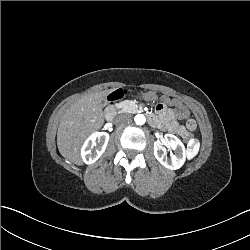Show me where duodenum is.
<instances>
[{"label":"duodenum","instance_id":"1","mask_svg":"<svg viewBox=\"0 0 250 250\" xmlns=\"http://www.w3.org/2000/svg\"><path fill=\"white\" fill-rule=\"evenodd\" d=\"M112 110H113V108H110V109H109V111H112ZM105 120H106L107 122L112 121V119H111V117H110L109 115H107V116L105 117Z\"/></svg>","mask_w":250,"mask_h":250}]
</instances>
